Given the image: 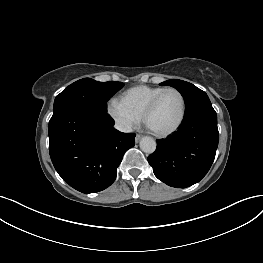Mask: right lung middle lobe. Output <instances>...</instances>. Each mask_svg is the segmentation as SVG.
I'll return each mask as SVG.
<instances>
[{
	"label": "right lung middle lobe",
	"instance_id": "right-lung-middle-lobe-1",
	"mask_svg": "<svg viewBox=\"0 0 263 263\" xmlns=\"http://www.w3.org/2000/svg\"><path fill=\"white\" fill-rule=\"evenodd\" d=\"M123 83L98 82L84 78L65 88L54 101L53 115L67 107H86L107 112L106 102L123 87Z\"/></svg>",
	"mask_w": 263,
	"mask_h": 263
}]
</instances>
